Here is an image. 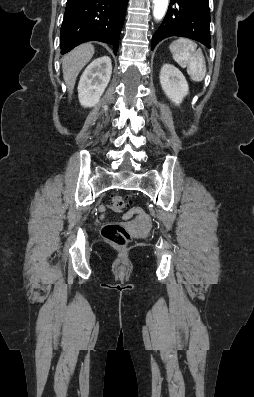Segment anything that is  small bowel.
I'll use <instances>...</instances> for the list:
<instances>
[{
  "mask_svg": "<svg viewBox=\"0 0 254 397\" xmlns=\"http://www.w3.org/2000/svg\"><path fill=\"white\" fill-rule=\"evenodd\" d=\"M98 210H99V212H100V214H101V216H100V221H103L104 218H105V214H106V211H107V207H106L105 205H100L99 208H98ZM133 214H136V215L139 216V218H140L142 224H144V225L147 224V218H146V216L144 215V213H143L140 209L134 210V211H133Z\"/></svg>",
  "mask_w": 254,
  "mask_h": 397,
  "instance_id": "c3829d8e",
  "label": "small bowel"
}]
</instances>
